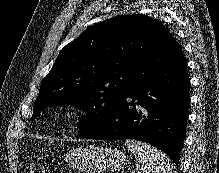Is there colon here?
<instances>
[{"label":"colon","instance_id":"obj_1","mask_svg":"<svg viewBox=\"0 0 219 173\" xmlns=\"http://www.w3.org/2000/svg\"><path fill=\"white\" fill-rule=\"evenodd\" d=\"M30 173H47V166L43 160H34L30 166Z\"/></svg>","mask_w":219,"mask_h":173}]
</instances>
